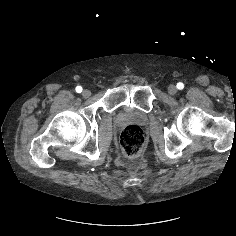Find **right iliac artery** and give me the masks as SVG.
<instances>
[{
	"mask_svg": "<svg viewBox=\"0 0 236 236\" xmlns=\"http://www.w3.org/2000/svg\"><path fill=\"white\" fill-rule=\"evenodd\" d=\"M76 92L77 93H81L82 92V87L81 86H77L76 87Z\"/></svg>",
	"mask_w": 236,
	"mask_h": 236,
	"instance_id": "right-iliac-artery-1",
	"label": "right iliac artery"
}]
</instances>
